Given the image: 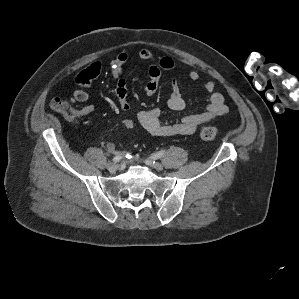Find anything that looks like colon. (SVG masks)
<instances>
[{
    "label": "colon",
    "instance_id": "obj_1",
    "mask_svg": "<svg viewBox=\"0 0 299 299\" xmlns=\"http://www.w3.org/2000/svg\"><path fill=\"white\" fill-rule=\"evenodd\" d=\"M51 108L71 123L76 122L80 115V111L77 110L70 101L60 98L52 100ZM121 127L124 130H131L135 127V123L132 120H126L121 123ZM218 133L219 131L215 127L203 126L199 131V136L202 140L211 141L217 138Z\"/></svg>",
    "mask_w": 299,
    "mask_h": 299
}]
</instances>
